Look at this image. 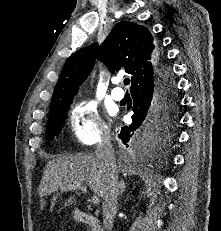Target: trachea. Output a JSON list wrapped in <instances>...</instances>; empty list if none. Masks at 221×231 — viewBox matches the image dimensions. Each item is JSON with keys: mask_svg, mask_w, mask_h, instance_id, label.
Listing matches in <instances>:
<instances>
[{"mask_svg": "<svg viewBox=\"0 0 221 231\" xmlns=\"http://www.w3.org/2000/svg\"><path fill=\"white\" fill-rule=\"evenodd\" d=\"M129 83H130L129 78H125V79H124V84H125V85H128Z\"/></svg>", "mask_w": 221, "mask_h": 231, "instance_id": "obj_1", "label": "trachea"}]
</instances>
